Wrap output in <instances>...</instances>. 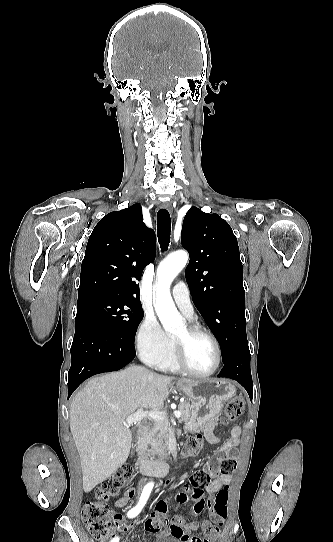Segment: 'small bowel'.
I'll list each match as a JSON object with an SVG mask.
<instances>
[{
  "mask_svg": "<svg viewBox=\"0 0 333 542\" xmlns=\"http://www.w3.org/2000/svg\"><path fill=\"white\" fill-rule=\"evenodd\" d=\"M217 425V420L212 419L208 421L203 429V434L206 439V441L210 444H218L221 441V438L214 434V428ZM242 433V428L239 425H234L230 430V436L228 440L221 446L220 452H214L211 454L210 459L214 463L218 462H231L233 460L232 453L236 450V448L240 444V436ZM147 482L150 480L148 477L145 479ZM230 482V478L227 475H221L215 480H213L208 486H207V492L208 493H214L215 491L219 490L223 486L227 485ZM143 485L146 483L144 480L141 482ZM169 480L163 481L161 484L163 486L169 485ZM136 496V490L134 488H127L124 492V494L117 500L116 505L119 508H123L128 505L130 500H132ZM173 498L175 501H177L180 504H184L187 501V496L183 492H178L173 495ZM119 530L122 532L129 531L133 526V522L129 523H118L116 525ZM185 528L191 532L195 531L198 528V524L196 522L187 523L185 525ZM117 536V535H114Z\"/></svg>",
  "mask_w": 333,
  "mask_h": 542,
  "instance_id": "small-bowel-1",
  "label": "small bowel"
}]
</instances>
